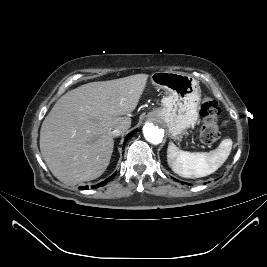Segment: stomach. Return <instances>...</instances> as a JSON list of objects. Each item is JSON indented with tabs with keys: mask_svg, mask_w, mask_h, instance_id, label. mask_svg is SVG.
I'll list each match as a JSON object with an SVG mask.
<instances>
[{
	"mask_svg": "<svg viewBox=\"0 0 267 267\" xmlns=\"http://www.w3.org/2000/svg\"><path fill=\"white\" fill-rule=\"evenodd\" d=\"M152 83L164 91L161 107L148 116L162 121L172 139L179 140L199 119L200 86L191 75L179 72H156Z\"/></svg>",
	"mask_w": 267,
	"mask_h": 267,
	"instance_id": "1",
	"label": "stomach"
}]
</instances>
